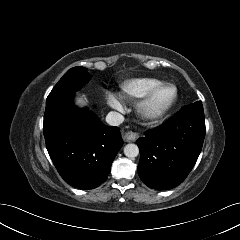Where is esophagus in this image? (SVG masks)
Listing matches in <instances>:
<instances>
[{"label": "esophagus", "instance_id": "esophagus-1", "mask_svg": "<svg viewBox=\"0 0 240 240\" xmlns=\"http://www.w3.org/2000/svg\"><path fill=\"white\" fill-rule=\"evenodd\" d=\"M139 137V134L133 131H128L127 133H125L124 135V139L127 142H134L137 140V138Z\"/></svg>", "mask_w": 240, "mask_h": 240}]
</instances>
